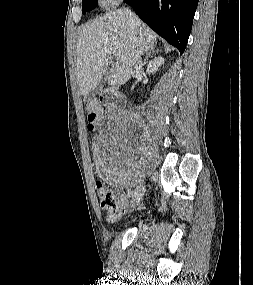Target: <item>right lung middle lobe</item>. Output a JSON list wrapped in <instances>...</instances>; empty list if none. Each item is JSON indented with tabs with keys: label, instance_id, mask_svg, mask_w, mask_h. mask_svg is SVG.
Listing matches in <instances>:
<instances>
[{
	"label": "right lung middle lobe",
	"instance_id": "1",
	"mask_svg": "<svg viewBox=\"0 0 253 285\" xmlns=\"http://www.w3.org/2000/svg\"><path fill=\"white\" fill-rule=\"evenodd\" d=\"M97 6V0H82V11L85 14L87 11Z\"/></svg>",
	"mask_w": 253,
	"mask_h": 285
}]
</instances>
